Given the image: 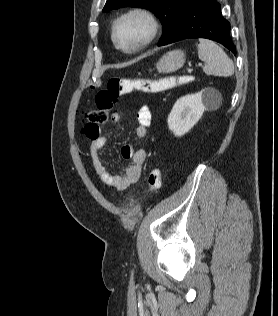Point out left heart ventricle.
Masks as SVG:
<instances>
[{"mask_svg":"<svg viewBox=\"0 0 278 316\" xmlns=\"http://www.w3.org/2000/svg\"><path fill=\"white\" fill-rule=\"evenodd\" d=\"M146 30L140 19H128L118 25L116 37L123 47H132L145 36Z\"/></svg>","mask_w":278,"mask_h":316,"instance_id":"1","label":"left heart ventricle"}]
</instances>
